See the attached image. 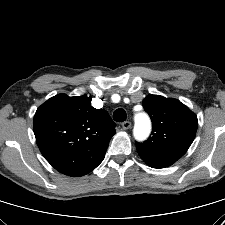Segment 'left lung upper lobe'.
Masks as SVG:
<instances>
[{"mask_svg":"<svg viewBox=\"0 0 225 225\" xmlns=\"http://www.w3.org/2000/svg\"><path fill=\"white\" fill-rule=\"evenodd\" d=\"M144 109L153 122L152 136L136 143L140 157L153 168H165L182 157L192 144L197 116L179 100L148 95Z\"/></svg>","mask_w":225,"mask_h":225,"instance_id":"5c2ea615","label":"left lung upper lobe"}]
</instances>
